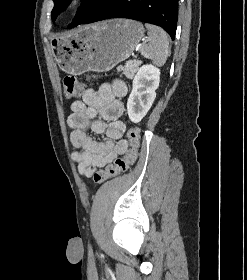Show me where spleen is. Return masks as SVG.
Here are the masks:
<instances>
[{
  "label": "spleen",
  "mask_w": 247,
  "mask_h": 280,
  "mask_svg": "<svg viewBox=\"0 0 247 280\" xmlns=\"http://www.w3.org/2000/svg\"><path fill=\"white\" fill-rule=\"evenodd\" d=\"M145 26L148 30L149 43L141 48V55L162 66L170 53L168 36L160 27L150 24Z\"/></svg>",
  "instance_id": "3e777b00"
}]
</instances>
